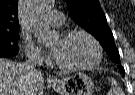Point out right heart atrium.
Listing matches in <instances>:
<instances>
[{"instance_id": "1", "label": "right heart atrium", "mask_w": 135, "mask_h": 95, "mask_svg": "<svg viewBox=\"0 0 135 95\" xmlns=\"http://www.w3.org/2000/svg\"><path fill=\"white\" fill-rule=\"evenodd\" d=\"M25 52L27 57L40 59L43 58V52L41 49L35 45L29 38L25 39Z\"/></svg>"}]
</instances>
